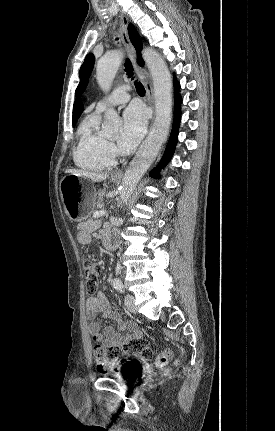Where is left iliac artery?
Returning <instances> with one entry per match:
<instances>
[{
    "mask_svg": "<svg viewBox=\"0 0 275 431\" xmlns=\"http://www.w3.org/2000/svg\"><path fill=\"white\" fill-rule=\"evenodd\" d=\"M113 286H114L115 289H117L120 292L124 291L123 290V284H122L121 280H119V279H115L113 281Z\"/></svg>",
    "mask_w": 275,
    "mask_h": 431,
    "instance_id": "obj_1",
    "label": "left iliac artery"
}]
</instances>
